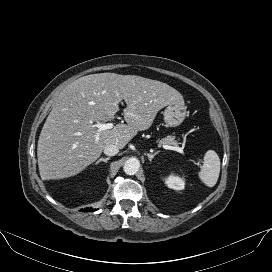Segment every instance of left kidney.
<instances>
[{"label":"left kidney","instance_id":"left-kidney-1","mask_svg":"<svg viewBox=\"0 0 272 272\" xmlns=\"http://www.w3.org/2000/svg\"><path fill=\"white\" fill-rule=\"evenodd\" d=\"M165 183L169 188L174 190H182L185 187V182L182 178L174 175H170L165 179Z\"/></svg>","mask_w":272,"mask_h":272}]
</instances>
